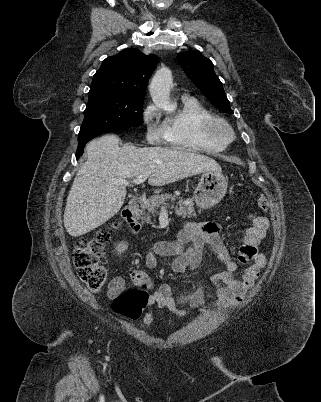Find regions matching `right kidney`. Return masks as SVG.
Instances as JSON below:
<instances>
[{
	"instance_id": "right-kidney-1",
	"label": "right kidney",
	"mask_w": 321,
	"mask_h": 402,
	"mask_svg": "<svg viewBox=\"0 0 321 402\" xmlns=\"http://www.w3.org/2000/svg\"><path fill=\"white\" fill-rule=\"evenodd\" d=\"M127 245L125 244V243H120L118 246H117V248H116V250L118 251V253H122V252H124L126 249H127Z\"/></svg>"
}]
</instances>
